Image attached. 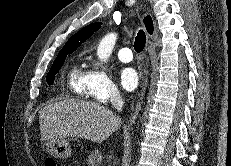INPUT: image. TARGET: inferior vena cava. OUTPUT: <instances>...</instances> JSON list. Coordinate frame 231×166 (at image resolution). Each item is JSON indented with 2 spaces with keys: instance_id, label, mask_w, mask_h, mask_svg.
I'll return each instance as SVG.
<instances>
[{
  "instance_id": "inferior-vena-cava-1",
  "label": "inferior vena cava",
  "mask_w": 231,
  "mask_h": 166,
  "mask_svg": "<svg viewBox=\"0 0 231 166\" xmlns=\"http://www.w3.org/2000/svg\"><path fill=\"white\" fill-rule=\"evenodd\" d=\"M111 103L118 111H122L123 101L119 93L114 92L111 94Z\"/></svg>"
}]
</instances>
